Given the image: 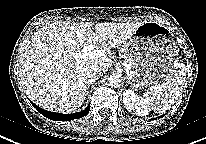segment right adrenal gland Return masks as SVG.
Listing matches in <instances>:
<instances>
[{"label":"right adrenal gland","mask_w":206,"mask_h":144,"mask_svg":"<svg viewBox=\"0 0 206 144\" xmlns=\"http://www.w3.org/2000/svg\"><path fill=\"white\" fill-rule=\"evenodd\" d=\"M91 84H93V83H91V82L88 83V85H87V89H88V90H89ZM87 93H88V91H87Z\"/></svg>","instance_id":"1"}]
</instances>
